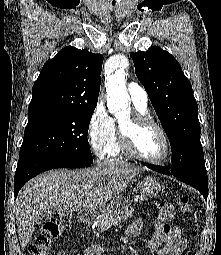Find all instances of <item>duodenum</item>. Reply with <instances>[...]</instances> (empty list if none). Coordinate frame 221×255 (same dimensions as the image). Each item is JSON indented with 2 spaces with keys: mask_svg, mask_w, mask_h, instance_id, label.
Returning <instances> with one entry per match:
<instances>
[{
  "mask_svg": "<svg viewBox=\"0 0 221 255\" xmlns=\"http://www.w3.org/2000/svg\"><path fill=\"white\" fill-rule=\"evenodd\" d=\"M95 218V216L89 212H82L80 214V220L83 222H89L92 221Z\"/></svg>",
  "mask_w": 221,
  "mask_h": 255,
  "instance_id": "obj_1",
  "label": "duodenum"
}]
</instances>
